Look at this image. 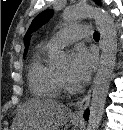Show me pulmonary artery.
<instances>
[{
    "label": "pulmonary artery",
    "mask_w": 123,
    "mask_h": 130,
    "mask_svg": "<svg viewBox=\"0 0 123 130\" xmlns=\"http://www.w3.org/2000/svg\"><path fill=\"white\" fill-rule=\"evenodd\" d=\"M89 34L90 30L87 25L73 24L66 26L55 35H53L49 39L48 44L57 49L64 47L67 44L78 41L83 37H88Z\"/></svg>",
    "instance_id": "e3ab8cb5"
}]
</instances>
